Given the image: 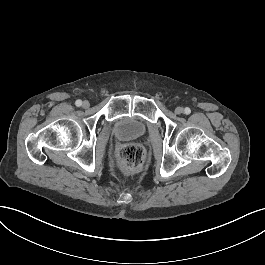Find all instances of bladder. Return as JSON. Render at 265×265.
I'll list each match as a JSON object with an SVG mask.
<instances>
[{
	"label": "bladder",
	"mask_w": 265,
	"mask_h": 265,
	"mask_svg": "<svg viewBox=\"0 0 265 265\" xmlns=\"http://www.w3.org/2000/svg\"><path fill=\"white\" fill-rule=\"evenodd\" d=\"M145 123L138 118H122L114 126L116 136L123 140H136L146 134Z\"/></svg>",
	"instance_id": "obj_1"
}]
</instances>
